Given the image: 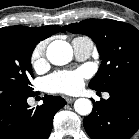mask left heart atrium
Listing matches in <instances>:
<instances>
[{
	"label": "left heart atrium",
	"mask_w": 139,
	"mask_h": 139,
	"mask_svg": "<svg viewBox=\"0 0 139 139\" xmlns=\"http://www.w3.org/2000/svg\"><path fill=\"white\" fill-rule=\"evenodd\" d=\"M86 77L87 72L83 69L59 71L48 76L45 85L50 92L73 94L82 88Z\"/></svg>",
	"instance_id": "39dd6f15"
}]
</instances>
